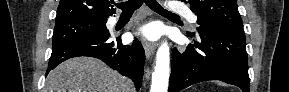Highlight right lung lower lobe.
Masks as SVG:
<instances>
[{"instance_id": "98d812e1", "label": "right lung lower lobe", "mask_w": 289, "mask_h": 92, "mask_svg": "<svg viewBox=\"0 0 289 92\" xmlns=\"http://www.w3.org/2000/svg\"><path fill=\"white\" fill-rule=\"evenodd\" d=\"M109 36L98 39H83L52 48L46 75L61 62L77 56H91L104 61L112 69L130 77L138 90L142 84L145 52L138 40L123 45L121 39L108 40Z\"/></svg>"}]
</instances>
